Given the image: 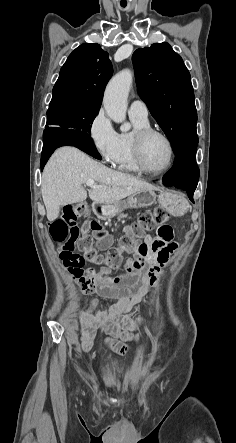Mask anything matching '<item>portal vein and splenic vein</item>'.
<instances>
[{
  "instance_id": "18ae733b",
  "label": "portal vein and splenic vein",
  "mask_w": 236,
  "mask_h": 443,
  "mask_svg": "<svg viewBox=\"0 0 236 443\" xmlns=\"http://www.w3.org/2000/svg\"><path fill=\"white\" fill-rule=\"evenodd\" d=\"M86 185L91 188H100L101 187V186L96 185L93 180L86 181Z\"/></svg>"
}]
</instances>
